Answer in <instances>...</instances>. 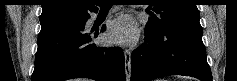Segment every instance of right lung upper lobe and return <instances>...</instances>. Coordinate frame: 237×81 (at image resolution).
Here are the masks:
<instances>
[{
  "label": "right lung upper lobe",
  "mask_w": 237,
  "mask_h": 81,
  "mask_svg": "<svg viewBox=\"0 0 237 81\" xmlns=\"http://www.w3.org/2000/svg\"><path fill=\"white\" fill-rule=\"evenodd\" d=\"M97 11L92 0H43L40 22L83 17Z\"/></svg>",
  "instance_id": "obj_1"
}]
</instances>
